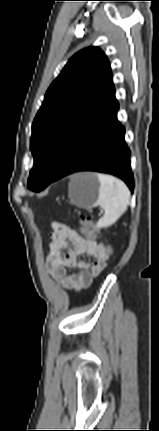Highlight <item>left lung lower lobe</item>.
Masks as SVG:
<instances>
[{"label":"left lung lower lobe","mask_w":159,"mask_h":431,"mask_svg":"<svg viewBox=\"0 0 159 431\" xmlns=\"http://www.w3.org/2000/svg\"><path fill=\"white\" fill-rule=\"evenodd\" d=\"M118 109L115 99L76 134L51 183L74 172L96 171L121 178L133 192L130 149L124 139L125 128L117 120Z\"/></svg>","instance_id":"obj_1"}]
</instances>
